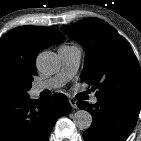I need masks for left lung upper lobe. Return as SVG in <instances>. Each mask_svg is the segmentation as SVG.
Segmentation results:
<instances>
[{"label":"left lung upper lobe","mask_w":141,"mask_h":141,"mask_svg":"<svg viewBox=\"0 0 141 141\" xmlns=\"http://www.w3.org/2000/svg\"><path fill=\"white\" fill-rule=\"evenodd\" d=\"M84 46V81L98 88L97 98L141 102V69L130 46L113 27L98 18L63 26Z\"/></svg>","instance_id":"1"}]
</instances>
